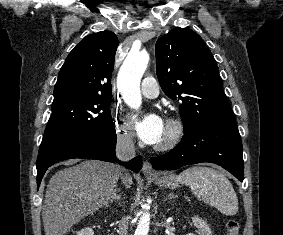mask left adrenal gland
I'll list each match as a JSON object with an SVG mask.
<instances>
[{
  "label": "left adrenal gland",
  "mask_w": 283,
  "mask_h": 235,
  "mask_svg": "<svg viewBox=\"0 0 283 235\" xmlns=\"http://www.w3.org/2000/svg\"><path fill=\"white\" fill-rule=\"evenodd\" d=\"M176 196L174 195V193H169L168 195H167V197L165 198V201H167L168 199H172V198H175Z\"/></svg>",
  "instance_id": "1"
}]
</instances>
